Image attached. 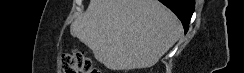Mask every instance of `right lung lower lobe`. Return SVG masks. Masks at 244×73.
<instances>
[{"label": "right lung lower lobe", "mask_w": 244, "mask_h": 73, "mask_svg": "<svg viewBox=\"0 0 244 73\" xmlns=\"http://www.w3.org/2000/svg\"><path fill=\"white\" fill-rule=\"evenodd\" d=\"M181 20L185 33L189 29V22L195 9V0H159Z\"/></svg>", "instance_id": "right-lung-lower-lobe-1"}]
</instances>
